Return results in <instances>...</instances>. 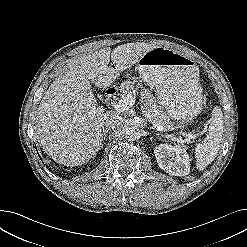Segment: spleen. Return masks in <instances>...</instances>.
<instances>
[{"mask_svg":"<svg viewBox=\"0 0 247 247\" xmlns=\"http://www.w3.org/2000/svg\"><path fill=\"white\" fill-rule=\"evenodd\" d=\"M211 124L207 141L198 144L195 148L196 168L203 171L207 165L211 164L218 154L223 140L224 121L223 113L220 108H214L212 111Z\"/></svg>","mask_w":247,"mask_h":247,"instance_id":"obj_1","label":"spleen"}]
</instances>
